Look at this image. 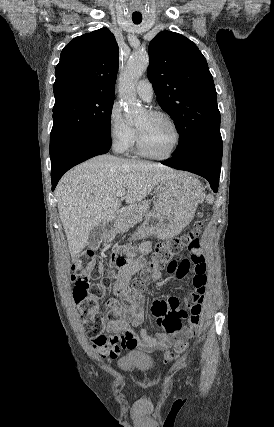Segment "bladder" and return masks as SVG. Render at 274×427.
<instances>
[{
  "instance_id": "1",
  "label": "bladder",
  "mask_w": 274,
  "mask_h": 427,
  "mask_svg": "<svg viewBox=\"0 0 274 427\" xmlns=\"http://www.w3.org/2000/svg\"><path fill=\"white\" fill-rule=\"evenodd\" d=\"M154 356L139 350H133L122 354L117 366L121 373L127 374L134 370L141 373H148L154 367Z\"/></svg>"
}]
</instances>
